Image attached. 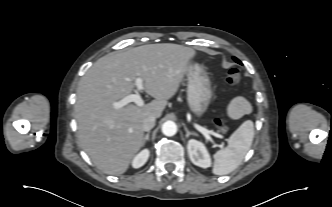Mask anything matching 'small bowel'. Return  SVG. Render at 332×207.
Wrapping results in <instances>:
<instances>
[{"label":"small bowel","mask_w":332,"mask_h":207,"mask_svg":"<svg viewBox=\"0 0 332 207\" xmlns=\"http://www.w3.org/2000/svg\"><path fill=\"white\" fill-rule=\"evenodd\" d=\"M250 111L248 101L243 97L234 98L228 106V114L231 118L237 119Z\"/></svg>","instance_id":"small-bowel-1"}]
</instances>
